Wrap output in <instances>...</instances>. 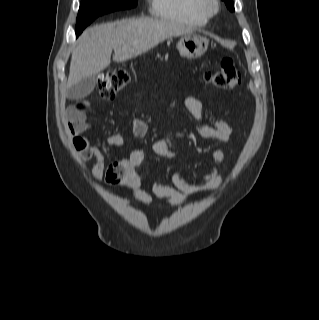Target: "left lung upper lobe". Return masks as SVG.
<instances>
[{
	"instance_id": "left-lung-upper-lobe-1",
	"label": "left lung upper lobe",
	"mask_w": 319,
	"mask_h": 320,
	"mask_svg": "<svg viewBox=\"0 0 319 320\" xmlns=\"http://www.w3.org/2000/svg\"><path fill=\"white\" fill-rule=\"evenodd\" d=\"M230 11H234L233 0H223Z\"/></svg>"
}]
</instances>
